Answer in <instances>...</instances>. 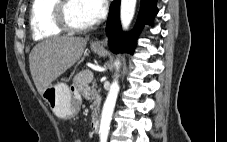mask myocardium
Segmentation results:
<instances>
[{
	"label": "myocardium",
	"instance_id": "f54148a6",
	"mask_svg": "<svg viewBox=\"0 0 227 142\" xmlns=\"http://www.w3.org/2000/svg\"><path fill=\"white\" fill-rule=\"evenodd\" d=\"M70 0H58L57 4L53 8V21L55 25L65 32L80 33L92 29L95 25L94 22L87 25H75L73 24L67 14V7Z\"/></svg>",
	"mask_w": 227,
	"mask_h": 142
}]
</instances>
